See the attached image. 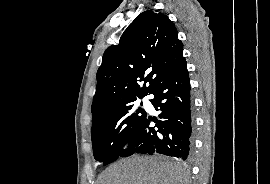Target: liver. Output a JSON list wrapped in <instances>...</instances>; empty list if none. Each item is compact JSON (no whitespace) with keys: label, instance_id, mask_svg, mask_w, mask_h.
<instances>
[{"label":"liver","instance_id":"1","mask_svg":"<svg viewBox=\"0 0 270 184\" xmlns=\"http://www.w3.org/2000/svg\"><path fill=\"white\" fill-rule=\"evenodd\" d=\"M186 167L158 157L134 156L108 167L99 184H187Z\"/></svg>","mask_w":270,"mask_h":184}]
</instances>
